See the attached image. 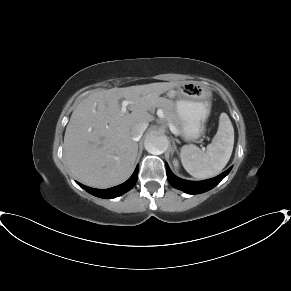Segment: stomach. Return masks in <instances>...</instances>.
Here are the masks:
<instances>
[{
  "label": "stomach",
  "instance_id": "obj_1",
  "mask_svg": "<svg viewBox=\"0 0 291 291\" xmlns=\"http://www.w3.org/2000/svg\"><path fill=\"white\" fill-rule=\"evenodd\" d=\"M168 96L175 99L183 137L188 141L197 140L211 112L212 92L206 86L188 81L169 89Z\"/></svg>",
  "mask_w": 291,
  "mask_h": 291
}]
</instances>
